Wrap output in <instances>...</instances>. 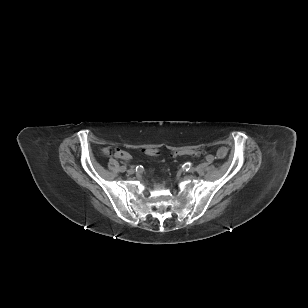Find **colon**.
<instances>
[{"label": "colon", "instance_id": "obj_1", "mask_svg": "<svg viewBox=\"0 0 308 308\" xmlns=\"http://www.w3.org/2000/svg\"><path fill=\"white\" fill-rule=\"evenodd\" d=\"M108 152V151H106ZM146 155L149 156H157L159 154L158 150L152 149V148H147L144 150ZM181 154H189L192 156H200L201 152L199 150H190V151H185V152H180ZM114 156L116 158L122 159V160H128L130 158V155L128 152L121 150V149H116L114 152Z\"/></svg>", "mask_w": 308, "mask_h": 308}]
</instances>
